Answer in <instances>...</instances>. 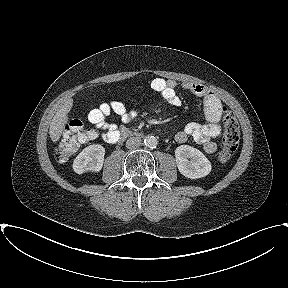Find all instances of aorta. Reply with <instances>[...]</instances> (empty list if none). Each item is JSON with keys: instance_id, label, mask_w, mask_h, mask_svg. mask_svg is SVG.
Masks as SVG:
<instances>
[{"instance_id": "obj_1", "label": "aorta", "mask_w": 288, "mask_h": 288, "mask_svg": "<svg viewBox=\"0 0 288 288\" xmlns=\"http://www.w3.org/2000/svg\"><path fill=\"white\" fill-rule=\"evenodd\" d=\"M144 145L148 148H156L158 145V140L155 136H146L144 139Z\"/></svg>"}]
</instances>
